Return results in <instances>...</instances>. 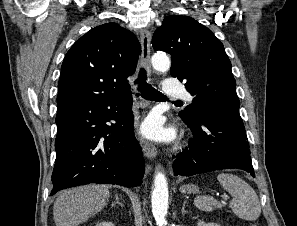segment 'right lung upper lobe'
<instances>
[{"mask_svg":"<svg viewBox=\"0 0 297 226\" xmlns=\"http://www.w3.org/2000/svg\"><path fill=\"white\" fill-rule=\"evenodd\" d=\"M141 47L136 36L116 23L97 26L67 52L58 84V107L82 99L130 94Z\"/></svg>","mask_w":297,"mask_h":226,"instance_id":"obj_1","label":"right lung upper lobe"}]
</instances>
